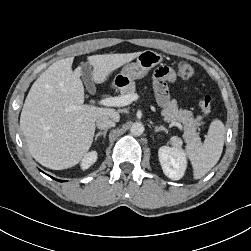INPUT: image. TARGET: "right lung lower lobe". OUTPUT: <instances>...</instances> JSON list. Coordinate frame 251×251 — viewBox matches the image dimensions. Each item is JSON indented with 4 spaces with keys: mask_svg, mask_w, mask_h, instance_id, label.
<instances>
[{
    "mask_svg": "<svg viewBox=\"0 0 251 251\" xmlns=\"http://www.w3.org/2000/svg\"><path fill=\"white\" fill-rule=\"evenodd\" d=\"M53 179H55V178H53ZM55 180L62 182V180H58V179H55Z\"/></svg>",
    "mask_w": 251,
    "mask_h": 251,
    "instance_id": "obj_1",
    "label": "right lung lower lobe"
}]
</instances>
